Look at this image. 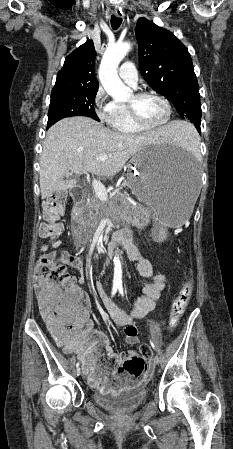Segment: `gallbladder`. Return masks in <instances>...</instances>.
Masks as SVG:
<instances>
[{"label":"gallbladder","mask_w":233,"mask_h":449,"mask_svg":"<svg viewBox=\"0 0 233 449\" xmlns=\"http://www.w3.org/2000/svg\"><path fill=\"white\" fill-rule=\"evenodd\" d=\"M57 195L61 198H65L66 197V193L64 191H59L57 192Z\"/></svg>","instance_id":"obj_1"}]
</instances>
